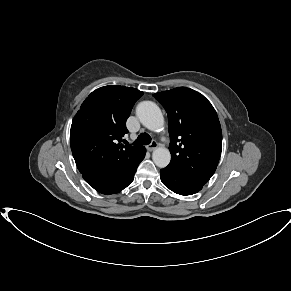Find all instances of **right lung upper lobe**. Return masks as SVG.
<instances>
[{"mask_svg": "<svg viewBox=\"0 0 291 291\" xmlns=\"http://www.w3.org/2000/svg\"><path fill=\"white\" fill-rule=\"evenodd\" d=\"M143 95L135 88L104 86L92 92L75 115L70 143L77 168L83 171L118 169L134 159L143 146H124L126 120Z\"/></svg>", "mask_w": 291, "mask_h": 291, "instance_id": "1", "label": "right lung upper lobe"}]
</instances>
